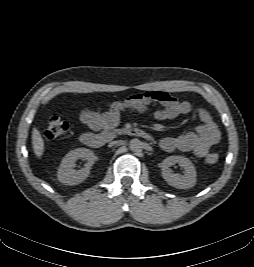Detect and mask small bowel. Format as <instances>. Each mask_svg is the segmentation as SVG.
I'll return each mask as SVG.
<instances>
[{
    "instance_id": "obj_1",
    "label": "small bowel",
    "mask_w": 254,
    "mask_h": 267,
    "mask_svg": "<svg viewBox=\"0 0 254 267\" xmlns=\"http://www.w3.org/2000/svg\"><path fill=\"white\" fill-rule=\"evenodd\" d=\"M156 105L161 106V108L154 112V117L160 121L187 115L193 110L189 102L181 101L167 92L145 91L130 95L122 101L111 102L106 110L84 109L80 114V120L92 131L109 129L119 124L123 112H146ZM196 114L201 121V125L195 131L163 138L160 146L164 151L177 150L203 157L208 153L211 146L219 141L220 131L209 111L205 108H198Z\"/></svg>"
}]
</instances>
